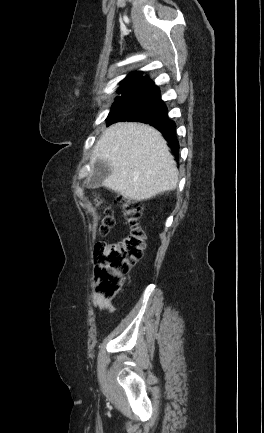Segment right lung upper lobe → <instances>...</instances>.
I'll use <instances>...</instances> for the list:
<instances>
[{"mask_svg":"<svg viewBox=\"0 0 264 433\" xmlns=\"http://www.w3.org/2000/svg\"><path fill=\"white\" fill-rule=\"evenodd\" d=\"M142 74L143 72L136 71L127 75L126 79L122 81V85L117 91L126 94L130 91L142 89L150 81L147 76L143 77Z\"/></svg>","mask_w":264,"mask_h":433,"instance_id":"obj_1","label":"right lung upper lobe"}]
</instances>
